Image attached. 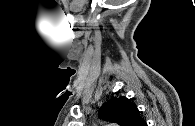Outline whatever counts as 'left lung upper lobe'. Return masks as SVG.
Wrapping results in <instances>:
<instances>
[{"label": "left lung upper lobe", "mask_w": 195, "mask_h": 126, "mask_svg": "<svg viewBox=\"0 0 195 126\" xmlns=\"http://www.w3.org/2000/svg\"><path fill=\"white\" fill-rule=\"evenodd\" d=\"M99 116L121 126H141L145 122L136 105L126 97L114 98L106 102L100 108Z\"/></svg>", "instance_id": "1"}]
</instances>
